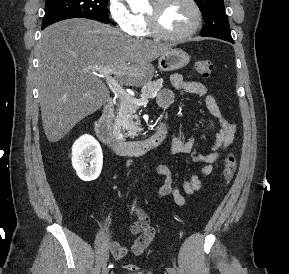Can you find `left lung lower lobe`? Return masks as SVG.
<instances>
[{"label": "left lung lower lobe", "mask_w": 289, "mask_h": 274, "mask_svg": "<svg viewBox=\"0 0 289 274\" xmlns=\"http://www.w3.org/2000/svg\"><path fill=\"white\" fill-rule=\"evenodd\" d=\"M226 41L231 42V43H234L233 39H231V40H226Z\"/></svg>", "instance_id": "obj_1"}]
</instances>
